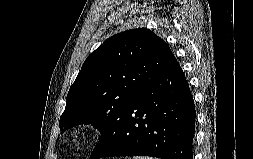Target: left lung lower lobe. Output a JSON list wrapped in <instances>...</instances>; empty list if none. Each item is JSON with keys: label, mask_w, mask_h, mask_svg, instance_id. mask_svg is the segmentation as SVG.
<instances>
[{"label": "left lung lower lobe", "mask_w": 253, "mask_h": 159, "mask_svg": "<svg viewBox=\"0 0 253 159\" xmlns=\"http://www.w3.org/2000/svg\"><path fill=\"white\" fill-rule=\"evenodd\" d=\"M195 115L188 82L174 58L124 108L114 131L97 144L90 159L111 156L193 159Z\"/></svg>", "instance_id": "left-lung-lower-lobe-1"}]
</instances>
